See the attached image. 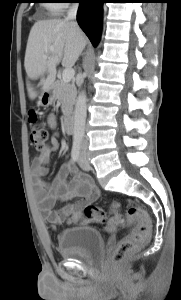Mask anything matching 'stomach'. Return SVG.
<instances>
[{"label": "stomach", "instance_id": "1", "mask_svg": "<svg viewBox=\"0 0 181 300\" xmlns=\"http://www.w3.org/2000/svg\"><path fill=\"white\" fill-rule=\"evenodd\" d=\"M55 98H56L55 90H54V87H52L50 90L44 91L40 95V97L37 101V105L47 107L54 102Z\"/></svg>", "mask_w": 181, "mask_h": 300}]
</instances>
